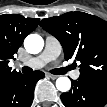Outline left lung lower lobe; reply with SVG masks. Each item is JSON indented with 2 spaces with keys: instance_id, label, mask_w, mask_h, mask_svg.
<instances>
[{
  "instance_id": "1",
  "label": "left lung lower lobe",
  "mask_w": 107,
  "mask_h": 107,
  "mask_svg": "<svg viewBox=\"0 0 107 107\" xmlns=\"http://www.w3.org/2000/svg\"><path fill=\"white\" fill-rule=\"evenodd\" d=\"M73 87L61 95L66 107H104L107 104V86L78 78Z\"/></svg>"
}]
</instances>
